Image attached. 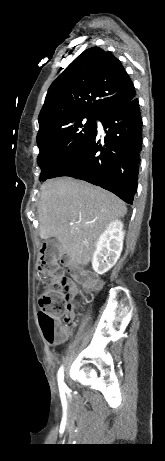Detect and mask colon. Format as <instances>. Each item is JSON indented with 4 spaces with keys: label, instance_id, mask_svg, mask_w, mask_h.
<instances>
[{
    "label": "colon",
    "instance_id": "colon-1",
    "mask_svg": "<svg viewBox=\"0 0 165 461\" xmlns=\"http://www.w3.org/2000/svg\"><path fill=\"white\" fill-rule=\"evenodd\" d=\"M39 270L47 280L46 290L39 299L38 318L43 335L49 343H57L62 338L58 329L57 317L69 313L63 301L64 291H69V282L58 262L52 245H45L39 258ZM87 288H95L97 283L83 282Z\"/></svg>",
    "mask_w": 165,
    "mask_h": 461
}]
</instances>
